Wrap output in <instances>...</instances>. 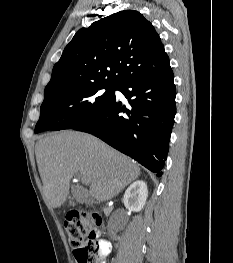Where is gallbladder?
Segmentation results:
<instances>
[{"mask_svg": "<svg viewBox=\"0 0 233 263\" xmlns=\"http://www.w3.org/2000/svg\"><path fill=\"white\" fill-rule=\"evenodd\" d=\"M69 204H70L71 206H74V205H75V203H74L73 201H70Z\"/></svg>", "mask_w": 233, "mask_h": 263, "instance_id": "obj_1", "label": "gallbladder"}]
</instances>
